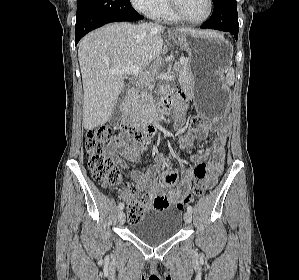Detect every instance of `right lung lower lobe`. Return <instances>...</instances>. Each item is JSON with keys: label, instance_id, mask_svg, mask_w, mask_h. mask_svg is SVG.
Returning a JSON list of instances; mask_svg holds the SVG:
<instances>
[{"label": "right lung lower lobe", "instance_id": "98d812e1", "mask_svg": "<svg viewBox=\"0 0 299 280\" xmlns=\"http://www.w3.org/2000/svg\"><path fill=\"white\" fill-rule=\"evenodd\" d=\"M142 18L129 0H77L75 45L85 34L107 23Z\"/></svg>", "mask_w": 299, "mask_h": 280}]
</instances>
